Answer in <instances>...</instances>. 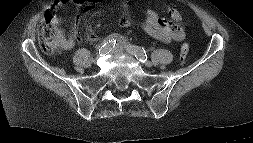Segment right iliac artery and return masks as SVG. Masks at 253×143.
<instances>
[{
    "mask_svg": "<svg viewBox=\"0 0 253 143\" xmlns=\"http://www.w3.org/2000/svg\"><path fill=\"white\" fill-rule=\"evenodd\" d=\"M115 44H116L115 39H109L104 41V43L99 48V54L111 51V49L115 46Z\"/></svg>",
    "mask_w": 253,
    "mask_h": 143,
    "instance_id": "right-iliac-artery-1",
    "label": "right iliac artery"
}]
</instances>
